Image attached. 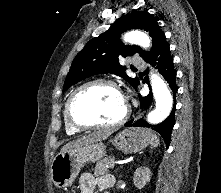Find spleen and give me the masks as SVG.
I'll use <instances>...</instances> for the list:
<instances>
[{"label":"spleen","instance_id":"obj_1","mask_svg":"<svg viewBox=\"0 0 221 193\" xmlns=\"http://www.w3.org/2000/svg\"><path fill=\"white\" fill-rule=\"evenodd\" d=\"M150 143L153 147H157L160 144V140L156 134L153 133L151 135V142Z\"/></svg>","mask_w":221,"mask_h":193}]
</instances>
